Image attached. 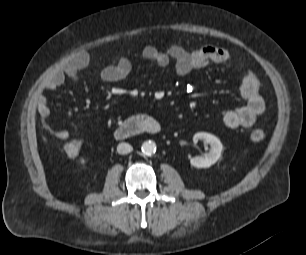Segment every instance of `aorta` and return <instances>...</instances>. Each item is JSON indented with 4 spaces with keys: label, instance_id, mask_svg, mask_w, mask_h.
Instances as JSON below:
<instances>
[{
    "label": "aorta",
    "instance_id": "1",
    "mask_svg": "<svg viewBox=\"0 0 306 255\" xmlns=\"http://www.w3.org/2000/svg\"><path fill=\"white\" fill-rule=\"evenodd\" d=\"M141 151L146 156H151L156 152V144L154 141H146L141 146Z\"/></svg>",
    "mask_w": 306,
    "mask_h": 255
}]
</instances>
